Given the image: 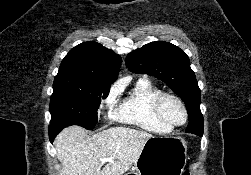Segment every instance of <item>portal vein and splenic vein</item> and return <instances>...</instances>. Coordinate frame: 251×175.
I'll use <instances>...</instances> for the list:
<instances>
[{
    "instance_id": "obj_1",
    "label": "portal vein and splenic vein",
    "mask_w": 251,
    "mask_h": 175,
    "mask_svg": "<svg viewBox=\"0 0 251 175\" xmlns=\"http://www.w3.org/2000/svg\"><path fill=\"white\" fill-rule=\"evenodd\" d=\"M101 161L102 163H105V161H112V157H102Z\"/></svg>"
}]
</instances>
